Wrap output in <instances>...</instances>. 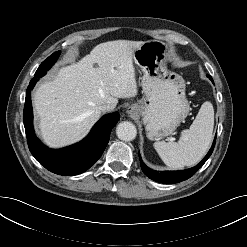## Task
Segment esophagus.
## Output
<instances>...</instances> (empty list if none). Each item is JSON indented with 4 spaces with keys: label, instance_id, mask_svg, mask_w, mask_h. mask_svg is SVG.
I'll return each mask as SVG.
<instances>
[{
    "label": "esophagus",
    "instance_id": "1",
    "mask_svg": "<svg viewBox=\"0 0 247 247\" xmlns=\"http://www.w3.org/2000/svg\"><path fill=\"white\" fill-rule=\"evenodd\" d=\"M127 113L128 114H134L135 113V109L132 106H130V107L127 108Z\"/></svg>",
    "mask_w": 247,
    "mask_h": 247
}]
</instances>
